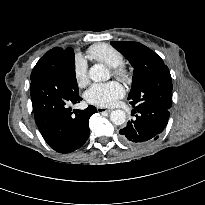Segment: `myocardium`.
<instances>
[{
    "mask_svg": "<svg viewBox=\"0 0 205 205\" xmlns=\"http://www.w3.org/2000/svg\"><path fill=\"white\" fill-rule=\"evenodd\" d=\"M112 73L124 82H129L131 80L130 72L123 65L112 68Z\"/></svg>",
    "mask_w": 205,
    "mask_h": 205,
    "instance_id": "myocardium-1",
    "label": "myocardium"
}]
</instances>
